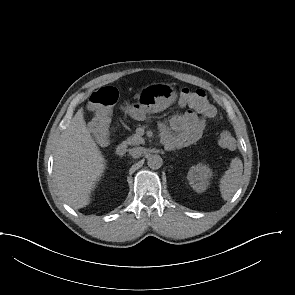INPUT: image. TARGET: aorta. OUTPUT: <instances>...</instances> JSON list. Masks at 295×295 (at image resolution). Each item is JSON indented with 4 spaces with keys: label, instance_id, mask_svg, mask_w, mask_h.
I'll return each instance as SVG.
<instances>
[{
    "label": "aorta",
    "instance_id": "obj_1",
    "mask_svg": "<svg viewBox=\"0 0 295 295\" xmlns=\"http://www.w3.org/2000/svg\"><path fill=\"white\" fill-rule=\"evenodd\" d=\"M163 164V160L160 155L154 154L147 158V165L152 169H159Z\"/></svg>",
    "mask_w": 295,
    "mask_h": 295
}]
</instances>
